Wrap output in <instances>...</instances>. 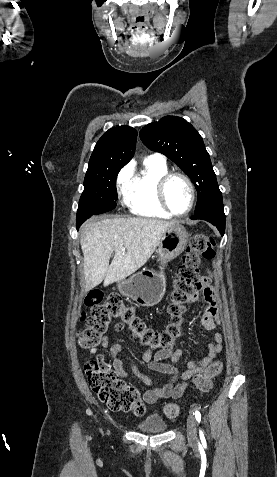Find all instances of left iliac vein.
Returning <instances> with one entry per match:
<instances>
[{
	"label": "left iliac vein",
	"instance_id": "left-iliac-vein-1",
	"mask_svg": "<svg viewBox=\"0 0 277 477\" xmlns=\"http://www.w3.org/2000/svg\"><path fill=\"white\" fill-rule=\"evenodd\" d=\"M187 436L188 441L191 444H195L197 441V431H196V419L194 415L190 414L187 418Z\"/></svg>",
	"mask_w": 277,
	"mask_h": 477
}]
</instances>
